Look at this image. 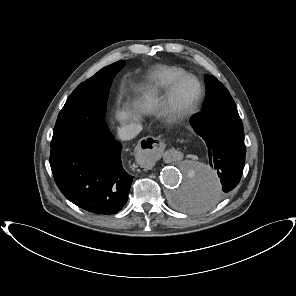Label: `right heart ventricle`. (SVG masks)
Instances as JSON below:
<instances>
[{
    "instance_id": "obj_1",
    "label": "right heart ventricle",
    "mask_w": 296,
    "mask_h": 296,
    "mask_svg": "<svg viewBox=\"0 0 296 296\" xmlns=\"http://www.w3.org/2000/svg\"><path fill=\"white\" fill-rule=\"evenodd\" d=\"M184 74L185 71L181 68L160 67L153 72L148 84V90L154 93H160Z\"/></svg>"
}]
</instances>
